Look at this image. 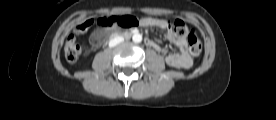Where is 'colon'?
Segmentation results:
<instances>
[{
	"mask_svg": "<svg viewBox=\"0 0 276 120\" xmlns=\"http://www.w3.org/2000/svg\"><path fill=\"white\" fill-rule=\"evenodd\" d=\"M96 24L99 27H122L130 28L140 24V19L133 16L114 15L113 17L99 18L96 21L86 20L75 27V33L80 34L86 31L90 26ZM174 34L179 39L188 42L189 52L192 56L198 57L202 51V42L197 34L190 29L183 21L176 20L173 23ZM81 52L80 44L75 35H70L65 43L64 54L69 62H75Z\"/></svg>",
	"mask_w": 276,
	"mask_h": 120,
	"instance_id": "colon-1",
	"label": "colon"
}]
</instances>
